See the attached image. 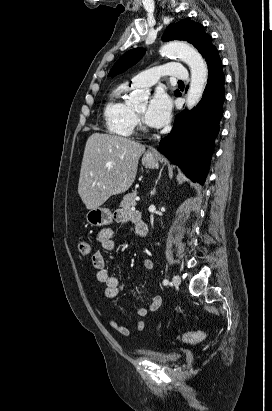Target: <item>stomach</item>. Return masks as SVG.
<instances>
[{"mask_svg": "<svg viewBox=\"0 0 272 411\" xmlns=\"http://www.w3.org/2000/svg\"><path fill=\"white\" fill-rule=\"evenodd\" d=\"M160 157L151 151L146 152L142 157V164L147 168L155 169L159 167ZM87 222L94 227H101L112 223L113 216L109 209L98 207L89 210L86 214Z\"/></svg>", "mask_w": 272, "mask_h": 411, "instance_id": "obj_1", "label": "stomach"}]
</instances>
